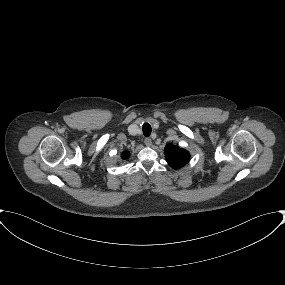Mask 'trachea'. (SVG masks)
I'll list each match as a JSON object with an SVG mask.
<instances>
[{"instance_id": "1", "label": "trachea", "mask_w": 285, "mask_h": 285, "mask_svg": "<svg viewBox=\"0 0 285 285\" xmlns=\"http://www.w3.org/2000/svg\"><path fill=\"white\" fill-rule=\"evenodd\" d=\"M144 136L148 137L151 134L152 128L149 123H144L142 126Z\"/></svg>"}]
</instances>
